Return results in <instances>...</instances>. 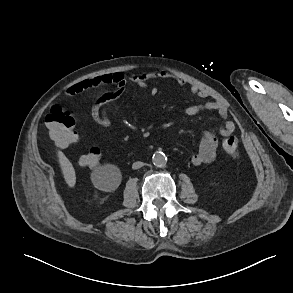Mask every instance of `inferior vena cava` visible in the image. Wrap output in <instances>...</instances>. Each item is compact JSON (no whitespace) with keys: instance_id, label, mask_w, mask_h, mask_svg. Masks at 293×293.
<instances>
[{"instance_id":"inferior-vena-cava-1","label":"inferior vena cava","mask_w":293,"mask_h":293,"mask_svg":"<svg viewBox=\"0 0 293 293\" xmlns=\"http://www.w3.org/2000/svg\"><path fill=\"white\" fill-rule=\"evenodd\" d=\"M142 166H144V163H143V162H140V161H137V162H134V163H133L132 168H133L134 170H136V169L141 168Z\"/></svg>"}]
</instances>
